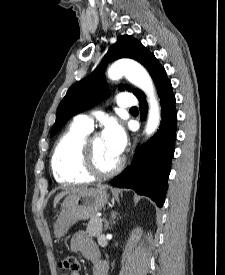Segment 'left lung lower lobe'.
Instances as JSON below:
<instances>
[{"label":"left lung lower lobe","instance_id":"left-lung-lower-lobe-1","mask_svg":"<svg viewBox=\"0 0 225 275\" xmlns=\"http://www.w3.org/2000/svg\"><path fill=\"white\" fill-rule=\"evenodd\" d=\"M161 104V125L146 144L137 148L130 166L115 177L111 184L131 188L146 195L162 207L167 191V181L174 155L177 130V112L172 85L163 69L154 79ZM142 118L146 117L147 103L144 93L137 97Z\"/></svg>","mask_w":225,"mask_h":275}]
</instances>
